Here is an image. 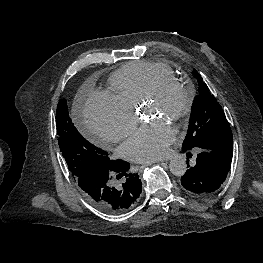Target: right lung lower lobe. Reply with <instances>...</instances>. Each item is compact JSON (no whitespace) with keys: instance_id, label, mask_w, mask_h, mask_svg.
Listing matches in <instances>:
<instances>
[{"instance_id":"right-lung-lower-lobe-1","label":"right lung lower lobe","mask_w":263,"mask_h":263,"mask_svg":"<svg viewBox=\"0 0 263 263\" xmlns=\"http://www.w3.org/2000/svg\"><path fill=\"white\" fill-rule=\"evenodd\" d=\"M130 164L122 160H111L108 168L88 171L75 181L86 199L96 208L111 213L117 208H131L137 201L142 188L137 173H128ZM125 176L124 183L115 184L112 178Z\"/></svg>"}]
</instances>
